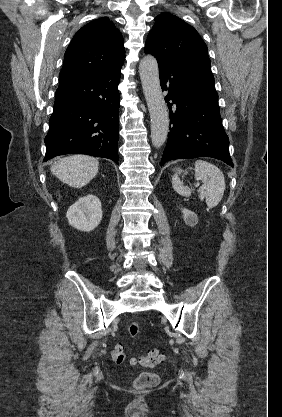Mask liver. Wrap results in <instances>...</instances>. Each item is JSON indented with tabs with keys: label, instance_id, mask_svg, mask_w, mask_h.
I'll return each instance as SVG.
<instances>
[{
	"label": "liver",
	"instance_id": "1",
	"mask_svg": "<svg viewBox=\"0 0 282 417\" xmlns=\"http://www.w3.org/2000/svg\"><path fill=\"white\" fill-rule=\"evenodd\" d=\"M98 168L97 158L86 156V154H73V156H65L53 162L50 170L62 182L81 188L96 176Z\"/></svg>",
	"mask_w": 282,
	"mask_h": 417
}]
</instances>
